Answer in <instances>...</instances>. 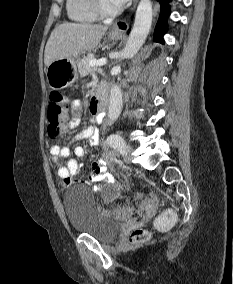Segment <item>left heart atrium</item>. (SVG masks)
Segmentation results:
<instances>
[{"label": "left heart atrium", "instance_id": "left-heart-atrium-1", "mask_svg": "<svg viewBox=\"0 0 233 284\" xmlns=\"http://www.w3.org/2000/svg\"><path fill=\"white\" fill-rule=\"evenodd\" d=\"M116 6H122L129 0H112Z\"/></svg>", "mask_w": 233, "mask_h": 284}]
</instances>
